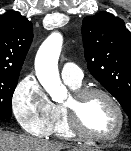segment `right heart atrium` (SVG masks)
I'll use <instances>...</instances> for the list:
<instances>
[{"instance_id":"1","label":"right heart atrium","mask_w":131,"mask_h":151,"mask_svg":"<svg viewBox=\"0 0 131 151\" xmlns=\"http://www.w3.org/2000/svg\"><path fill=\"white\" fill-rule=\"evenodd\" d=\"M11 108L21 128L34 136H46L54 118V104L38 80L27 75L16 85Z\"/></svg>"}]
</instances>
